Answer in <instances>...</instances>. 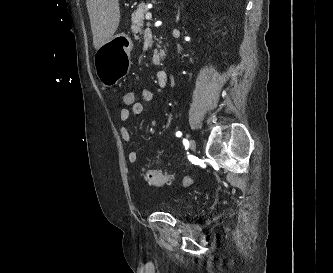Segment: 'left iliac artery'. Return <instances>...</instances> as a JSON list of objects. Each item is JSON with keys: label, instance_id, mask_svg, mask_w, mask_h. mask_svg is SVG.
Instances as JSON below:
<instances>
[{"label": "left iliac artery", "instance_id": "left-iliac-artery-1", "mask_svg": "<svg viewBox=\"0 0 333 273\" xmlns=\"http://www.w3.org/2000/svg\"><path fill=\"white\" fill-rule=\"evenodd\" d=\"M176 136H177V137L182 136V132L177 131V132H176ZM183 143H184V144H188V140L184 139V140H183Z\"/></svg>", "mask_w": 333, "mask_h": 273}]
</instances>
